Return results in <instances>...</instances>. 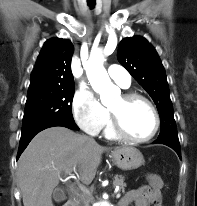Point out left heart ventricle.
Returning <instances> with one entry per match:
<instances>
[{
  "instance_id": "obj_1",
  "label": "left heart ventricle",
  "mask_w": 197,
  "mask_h": 206,
  "mask_svg": "<svg viewBox=\"0 0 197 206\" xmlns=\"http://www.w3.org/2000/svg\"><path fill=\"white\" fill-rule=\"evenodd\" d=\"M109 108L117 113L125 129L134 137L150 135L154 128V116L150 107L142 101L126 103L122 96L115 99Z\"/></svg>"
}]
</instances>
